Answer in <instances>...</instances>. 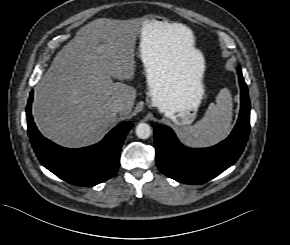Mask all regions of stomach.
Listing matches in <instances>:
<instances>
[{
    "label": "stomach",
    "mask_w": 290,
    "mask_h": 245,
    "mask_svg": "<svg viewBox=\"0 0 290 245\" xmlns=\"http://www.w3.org/2000/svg\"><path fill=\"white\" fill-rule=\"evenodd\" d=\"M159 25L157 21L145 22L140 36L139 55L146 75L147 104L157 107L181 128L195 120L204 96V59L197 52L196 69L184 71L171 47L160 43Z\"/></svg>",
    "instance_id": "obj_1"
}]
</instances>
